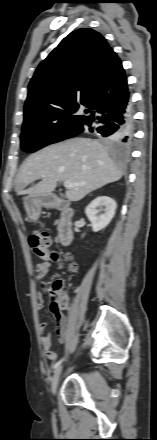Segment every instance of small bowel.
<instances>
[{"instance_id": "obj_1", "label": "small bowel", "mask_w": 157, "mask_h": 440, "mask_svg": "<svg viewBox=\"0 0 157 440\" xmlns=\"http://www.w3.org/2000/svg\"><path fill=\"white\" fill-rule=\"evenodd\" d=\"M50 269V264L48 262H39L36 265V271L38 273V281L42 280L48 274ZM44 308V304L40 297V302L37 304V309L42 310ZM56 326V335L58 340L62 343L65 338V328H66V318L64 314L60 311V309L50 308ZM48 324L45 322L40 323L39 330L41 333V344L43 351L48 359L54 361L57 359L58 355L52 349V337L50 332L47 331Z\"/></svg>"}]
</instances>
